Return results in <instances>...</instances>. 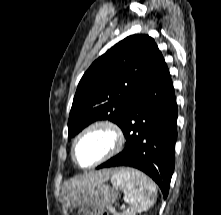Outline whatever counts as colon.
Here are the masks:
<instances>
[{
    "mask_svg": "<svg viewBox=\"0 0 221 215\" xmlns=\"http://www.w3.org/2000/svg\"><path fill=\"white\" fill-rule=\"evenodd\" d=\"M79 215H110V214L99 208L86 207L80 210Z\"/></svg>",
    "mask_w": 221,
    "mask_h": 215,
    "instance_id": "obj_1",
    "label": "colon"
}]
</instances>
